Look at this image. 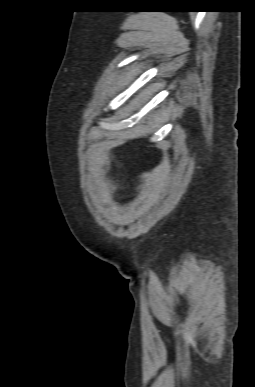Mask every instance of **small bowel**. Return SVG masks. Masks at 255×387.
Instances as JSON below:
<instances>
[{
	"mask_svg": "<svg viewBox=\"0 0 255 387\" xmlns=\"http://www.w3.org/2000/svg\"><path fill=\"white\" fill-rule=\"evenodd\" d=\"M97 164L98 165L94 168V176L96 179L109 175L113 169V164L110 158L102 153L97 155Z\"/></svg>",
	"mask_w": 255,
	"mask_h": 387,
	"instance_id": "1",
	"label": "small bowel"
}]
</instances>
